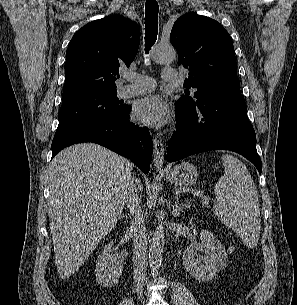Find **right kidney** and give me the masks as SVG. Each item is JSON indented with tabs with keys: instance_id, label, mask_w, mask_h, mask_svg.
I'll list each match as a JSON object with an SVG mask.
<instances>
[{
	"instance_id": "right-kidney-1",
	"label": "right kidney",
	"mask_w": 297,
	"mask_h": 305,
	"mask_svg": "<svg viewBox=\"0 0 297 305\" xmlns=\"http://www.w3.org/2000/svg\"><path fill=\"white\" fill-rule=\"evenodd\" d=\"M122 270V259L114 249L113 242L110 241L98 256L95 269L96 281L102 287H114L120 279Z\"/></svg>"
}]
</instances>
